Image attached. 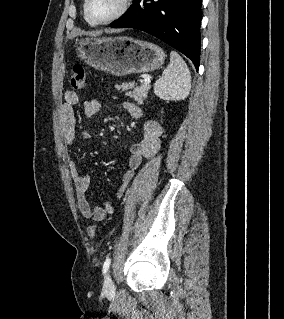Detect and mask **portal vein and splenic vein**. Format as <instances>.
Here are the masks:
<instances>
[{"mask_svg":"<svg viewBox=\"0 0 284 319\" xmlns=\"http://www.w3.org/2000/svg\"><path fill=\"white\" fill-rule=\"evenodd\" d=\"M144 82H145L146 84H149V83L151 82V80H150L149 78H146V79H144Z\"/></svg>","mask_w":284,"mask_h":319,"instance_id":"portal-vein-and-splenic-vein-1","label":"portal vein and splenic vein"}]
</instances>
